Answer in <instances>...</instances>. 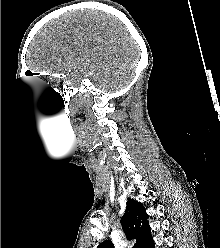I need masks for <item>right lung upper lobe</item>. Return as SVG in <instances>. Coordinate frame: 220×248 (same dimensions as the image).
<instances>
[{
	"mask_svg": "<svg viewBox=\"0 0 220 248\" xmlns=\"http://www.w3.org/2000/svg\"><path fill=\"white\" fill-rule=\"evenodd\" d=\"M148 214L145 207L138 201L129 199L126 211L121 218V225L128 240L135 239L133 248H149L153 243L149 227ZM97 248H113L111 240L101 243Z\"/></svg>",
	"mask_w": 220,
	"mask_h": 248,
	"instance_id": "cb5924a9",
	"label": "right lung upper lobe"
}]
</instances>
